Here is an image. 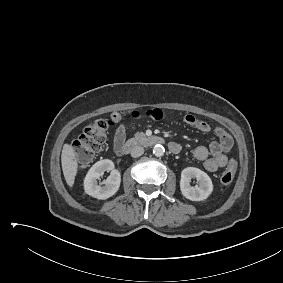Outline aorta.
I'll return each mask as SVG.
<instances>
[{
	"instance_id": "1",
	"label": "aorta",
	"mask_w": 283,
	"mask_h": 283,
	"mask_svg": "<svg viewBox=\"0 0 283 283\" xmlns=\"http://www.w3.org/2000/svg\"><path fill=\"white\" fill-rule=\"evenodd\" d=\"M165 149L162 145L157 144L153 147V154L157 157H161L164 155Z\"/></svg>"
}]
</instances>
